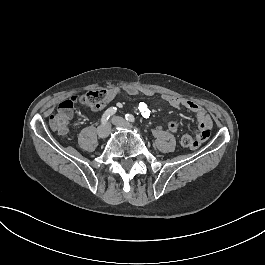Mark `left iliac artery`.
Returning <instances> with one entry per match:
<instances>
[{
  "label": "left iliac artery",
  "mask_w": 265,
  "mask_h": 265,
  "mask_svg": "<svg viewBox=\"0 0 265 265\" xmlns=\"http://www.w3.org/2000/svg\"><path fill=\"white\" fill-rule=\"evenodd\" d=\"M125 118H126V120H128V121H130V122H134V121H135L134 116L131 115V114H126V115H125Z\"/></svg>",
  "instance_id": "obj_1"
}]
</instances>
